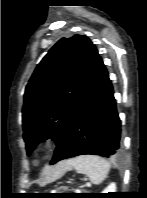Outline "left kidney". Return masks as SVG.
<instances>
[{
  "label": "left kidney",
  "instance_id": "obj_1",
  "mask_svg": "<svg viewBox=\"0 0 147 198\" xmlns=\"http://www.w3.org/2000/svg\"><path fill=\"white\" fill-rule=\"evenodd\" d=\"M109 192H116V184L115 183H111L108 187H106L104 189V191H102V193H109Z\"/></svg>",
  "mask_w": 147,
  "mask_h": 198
}]
</instances>
